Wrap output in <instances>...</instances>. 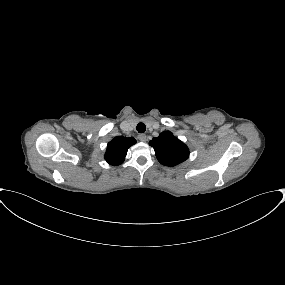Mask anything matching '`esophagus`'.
<instances>
[{"label":"esophagus","mask_w":285,"mask_h":285,"mask_svg":"<svg viewBox=\"0 0 285 285\" xmlns=\"http://www.w3.org/2000/svg\"><path fill=\"white\" fill-rule=\"evenodd\" d=\"M138 139H139V141H141V142H146L147 136H146L145 134H139V135H138Z\"/></svg>","instance_id":"34e87169"}]
</instances>
